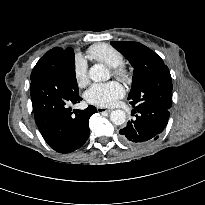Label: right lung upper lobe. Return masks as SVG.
<instances>
[{"label":"right lung upper lobe","mask_w":205,"mask_h":205,"mask_svg":"<svg viewBox=\"0 0 205 205\" xmlns=\"http://www.w3.org/2000/svg\"><path fill=\"white\" fill-rule=\"evenodd\" d=\"M69 48L67 49H62V48H58L55 47L51 50H49L46 54H44V56L39 60V63L43 62V61H48V62H55L57 60V58L62 55L65 51H67Z\"/></svg>","instance_id":"obj_1"}]
</instances>
